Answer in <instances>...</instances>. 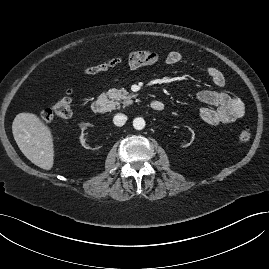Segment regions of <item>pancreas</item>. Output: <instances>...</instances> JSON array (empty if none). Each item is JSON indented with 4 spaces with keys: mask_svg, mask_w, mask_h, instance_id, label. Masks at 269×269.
Returning a JSON list of instances; mask_svg holds the SVG:
<instances>
[{
    "mask_svg": "<svg viewBox=\"0 0 269 269\" xmlns=\"http://www.w3.org/2000/svg\"><path fill=\"white\" fill-rule=\"evenodd\" d=\"M106 95L111 99V101L117 106V109H119L120 106V102L124 105H130L133 103L132 98H135L136 95L135 94H130L124 90V89H110ZM123 100V101H121ZM115 101V102H114Z\"/></svg>",
    "mask_w": 269,
    "mask_h": 269,
    "instance_id": "obj_1",
    "label": "pancreas"
}]
</instances>
